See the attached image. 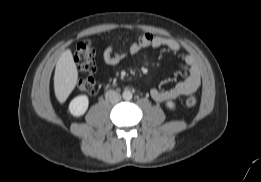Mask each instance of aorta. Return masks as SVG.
Segmentation results:
<instances>
[{"label": "aorta", "instance_id": "aorta-1", "mask_svg": "<svg viewBox=\"0 0 261 182\" xmlns=\"http://www.w3.org/2000/svg\"><path fill=\"white\" fill-rule=\"evenodd\" d=\"M122 96H123V99H125V100H131L133 95H132L131 91L125 90L123 92Z\"/></svg>", "mask_w": 261, "mask_h": 182}]
</instances>
